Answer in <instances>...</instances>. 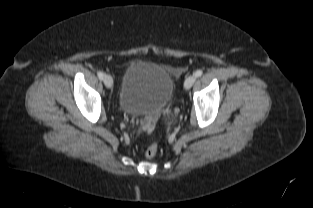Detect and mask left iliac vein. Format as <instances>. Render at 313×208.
<instances>
[{"label": "left iliac vein", "mask_w": 313, "mask_h": 208, "mask_svg": "<svg viewBox=\"0 0 313 208\" xmlns=\"http://www.w3.org/2000/svg\"><path fill=\"white\" fill-rule=\"evenodd\" d=\"M197 77L195 75H190L188 76L186 79H185V82H184V88L186 90L190 89L193 84L195 83Z\"/></svg>", "instance_id": "left-iliac-vein-1"}]
</instances>
